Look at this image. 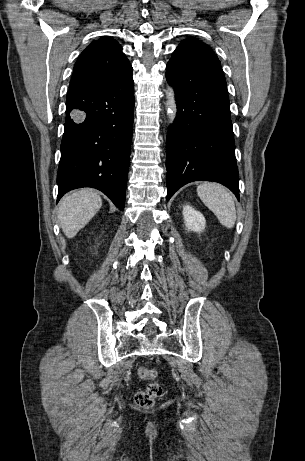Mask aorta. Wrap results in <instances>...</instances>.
Segmentation results:
<instances>
[{"mask_svg": "<svg viewBox=\"0 0 305 461\" xmlns=\"http://www.w3.org/2000/svg\"><path fill=\"white\" fill-rule=\"evenodd\" d=\"M166 107H167V115L169 117V121L172 123L176 117L177 113V105L175 101V94L172 87H168L166 91Z\"/></svg>", "mask_w": 305, "mask_h": 461, "instance_id": "aorta-1", "label": "aorta"}]
</instances>
